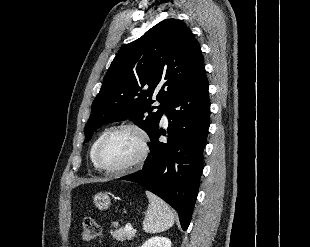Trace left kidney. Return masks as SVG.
I'll return each instance as SVG.
<instances>
[{
  "mask_svg": "<svg viewBox=\"0 0 310 247\" xmlns=\"http://www.w3.org/2000/svg\"><path fill=\"white\" fill-rule=\"evenodd\" d=\"M141 247H171V241L165 237L155 236L147 240Z\"/></svg>",
  "mask_w": 310,
  "mask_h": 247,
  "instance_id": "5707ae66",
  "label": "left kidney"
}]
</instances>
